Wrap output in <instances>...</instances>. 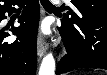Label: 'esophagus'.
<instances>
[{"label":"esophagus","instance_id":"34e87169","mask_svg":"<svg viewBox=\"0 0 107 75\" xmlns=\"http://www.w3.org/2000/svg\"><path fill=\"white\" fill-rule=\"evenodd\" d=\"M47 48H48V44L45 38L43 37L41 33H39L38 39H37V52L40 58L45 54Z\"/></svg>","mask_w":107,"mask_h":75}]
</instances>
